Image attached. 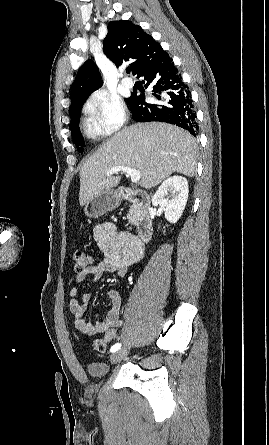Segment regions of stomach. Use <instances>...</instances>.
Masks as SVG:
<instances>
[{
	"label": "stomach",
	"instance_id": "1",
	"mask_svg": "<svg viewBox=\"0 0 269 445\" xmlns=\"http://www.w3.org/2000/svg\"><path fill=\"white\" fill-rule=\"evenodd\" d=\"M121 195L116 190H104L85 204L84 212L90 218H98L119 206Z\"/></svg>",
	"mask_w": 269,
	"mask_h": 445
}]
</instances>
